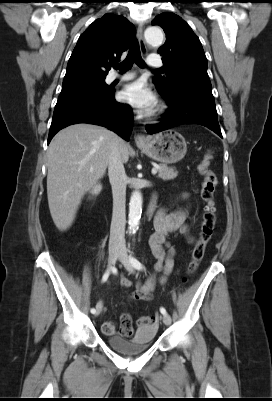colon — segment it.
Returning <instances> with one entry per match:
<instances>
[{
    "label": "colon",
    "instance_id": "1",
    "mask_svg": "<svg viewBox=\"0 0 272 401\" xmlns=\"http://www.w3.org/2000/svg\"><path fill=\"white\" fill-rule=\"evenodd\" d=\"M210 160L211 155L207 154L198 166L199 173L202 176L201 198L204 207L199 239L195 244L191 261L188 266L189 275H192L198 268V265L204 256L206 245L213 235L217 221L214 195L218 180L216 174L210 169ZM152 322L153 318L149 316L140 317L138 319V325H150Z\"/></svg>",
    "mask_w": 272,
    "mask_h": 401
}]
</instances>
